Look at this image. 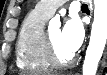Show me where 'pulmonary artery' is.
<instances>
[{"instance_id": "pulmonary-artery-1", "label": "pulmonary artery", "mask_w": 107, "mask_h": 75, "mask_svg": "<svg viewBox=\"0 0 107 75\" xmlns=\"http://www.w3.org/2000/svg\"><path fill=\"white\" fill-rule=\"evenodd\" d=\"M65 2L66 0H43L36 5L35 10L48 19Z\"/></svg>"}]
</instances>
